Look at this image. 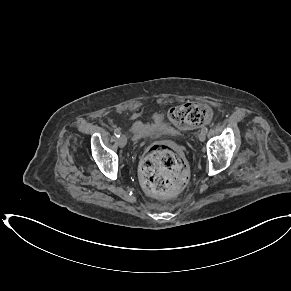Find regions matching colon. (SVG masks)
I'll return each mask as SVG.
<instances>
[{"instance_id": "5ec220e1", "label": "colon", "mask_w": 291, "mask_h": 291, "mask_svg": "<svg viewBox=\"0 0 291 291\" xmlns=\"http://www.w3.org/2000/svg\"><path fill=\"white\" fill-rule=\"evenodd\" d=\"M168 119L178 128L189 129L208 123L210 108L190 102L168 110ZM185 159L172 143H160L151 148L140 164V181L144 190L153 196L170 195L186 183Z\"/></svg>"}]
</instances>
